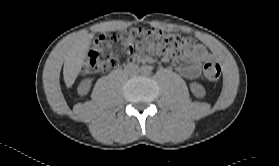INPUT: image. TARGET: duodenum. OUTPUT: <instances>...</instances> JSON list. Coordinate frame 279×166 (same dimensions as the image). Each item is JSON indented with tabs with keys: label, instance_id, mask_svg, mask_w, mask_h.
<instances>
[{
	"label": "duodenum",
	"instance_id": "410a0bca",
	"mask_svg": "<svg viewBox=\"0 0 279 166\" xmlns=\"http://www.w3.org/2000/svg\"><path fill=\"white\" fill-rule=\"evenodd\" d=\"M134 63V60H130L129 61V64L131 65V64H133Z\"/></svg>",
	"mask_w": 279,
	"mask_h": 166
}]
</instances>
